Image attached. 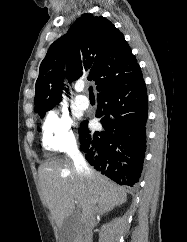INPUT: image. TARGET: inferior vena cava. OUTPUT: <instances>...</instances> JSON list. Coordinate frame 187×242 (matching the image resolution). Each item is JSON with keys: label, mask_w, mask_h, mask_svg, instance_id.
I'll list each match as a JSON object with an SVG mask.
<instances>
[{"label": "inferior vena cava", "mask_w": 187, "mask_h": 242, "mask_svg": "<svg viewBox=\"0 0 187 242\" xmlns=\"http://www.w3.org/2000/svg\"><path fill=\"white\" fill-rule=\"evenodd\" d=\"M69 156L72 158L74 162V166L76 168V171L78 174L88 180L92 178V172L91 169L88 167L83 155L80 153V151L77 148V145H74L69 150ZM94 193V201L96 199L95 191ZM95 221V216L91 215L84 226V237L82 242H92V227Z\"/></svg>", "instance_id": "1"}]
</instances>
